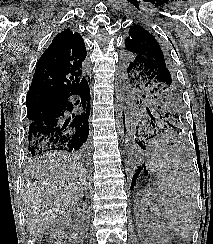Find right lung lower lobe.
<instances>
[{
  "label": "right lung lower lobe",
  "instance_id": "98d812e1",
  "mask_svg": "<svg viewBox=\"0 0 213 244\" xmlns=\"http://www.w3.org/2000/svg\"><path fill=\"white\" fill-rule=\"evenodd\" d=\"M72 95L81 97L80 106L83 112L67 116L65 112L73 110V104L69 101ZM78 103L79 101L76 104ZM89 114L90 89L84 79L74 91L46 102L30 120L28 152L31 155H40L51 150H87Z\"/></svg>",
  "mask_w": 213,
  "mask_h": 244
}]
</instances>
